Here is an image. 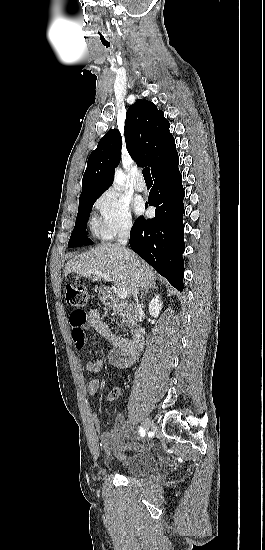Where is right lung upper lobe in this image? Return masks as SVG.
<instances>
[{"instance_id": "right-lung-upper-lobe-1", "label": "right lung upper lobe", "mask_w": 265, "mask_h": 550, "mask_svg": "<svg viewBox=\"0 0 265 550\" xmlns=\"http://www.w3.org/2000/svg\"><path fill=\"white\" fill-rule=\"evenodd\" d=\"M169 122L163 111L147 100L138 99L126 113L124 136L127 150L138 165H162L176 151L175 140L169 132ZM121 136L110 130L99 141L88 158L79 199L99 197L113 181L115 167L120 162Z\"/></svg>"}]
</instances>
